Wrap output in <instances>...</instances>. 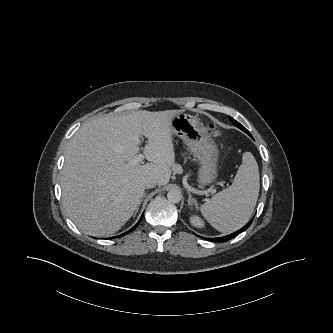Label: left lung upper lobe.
<instances>
[{
  "instance_id": "5c2ea615",
  "label": "left lung upper lobe",
  "mask_w": 333,
  "mask_h": 333,
  "mask_svg": "<svg viewBox=\"0 0 333 333\" xmlns=\"http://www.w3.org/2000/svg\"><path fill=\"white\" fill-rule=\"evenodd\" d=\"M230 118V120L232 121V123L236 126V127H238V128H240L241 130H243L245 133H247L249 136H251V134L248 132V130L244 127V126H242L239 122H237L235 119H233L232 117H229ZM252 137V136H251Z\"/></svg>"
}]
</instances>
